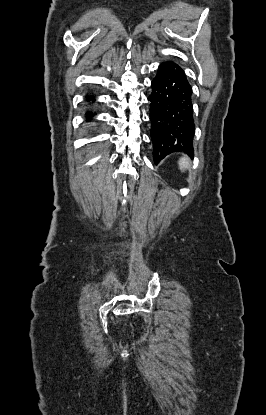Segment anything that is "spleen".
Instances as JSON below:
<instances>
[{
    "label": "spleen",
    "mask_w": 266,
    "mask_h": 415,
    "mask_svg": "<svg viewBox=\"0 0 266 415\" xmlns=\"http://www.w3.org/2000/svg\"><path fill=\"white\" fill-rule=\"evenodd\" d=\"M178 165L181 172H184L190 168V159L187 156H184L179 159Z\"/></svg>",
    "instance_id": "obj_1"
}]
</instances>
